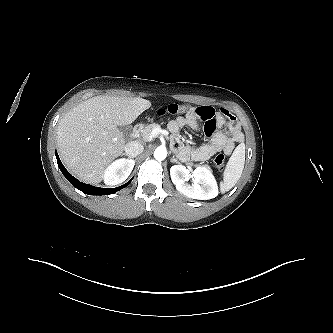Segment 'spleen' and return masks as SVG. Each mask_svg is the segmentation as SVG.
Instances as JSON below:
<instances>
[{"label":"spleen","instance_id":"spleen-1","mask_svg":"<svg viewBox=\"0 0 333 333\" xmlns=\"http://www.w3.org/2000/svg\"><path fill=\"white\" fill-rule=\"evenodd\" d=\"M245 146H238L226 164L223 182L220 185L222 193L229 191L237 183L244 169Z\"/></svg>","mask_w":333,"mask_h":333}]
</instances>
